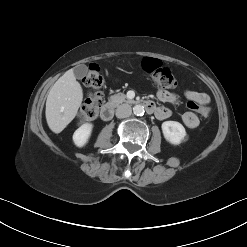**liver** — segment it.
Masks as SVG:
<instances>
[{
  "label": "liver",
  "instance_id": "obj_1",
  "mask_svg": "<svg viewBox=\"0 0 247 247\" xmlns=\"http://www.w3.org/2000/svg\"><path fill=\"white\" fill-rule=\"evenodd\" d=\"M83 100V90L72 69L51 87L46 100V121L54 133H60L75 118Z\"/></svg>",
  "mask_w": 247,
  "mask_h": 247
}]
</instances>
